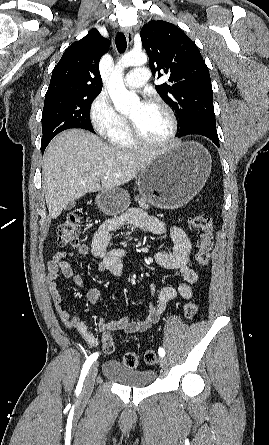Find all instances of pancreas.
Segmentation results:
<instances>
[{
    "label": "pancreas",
    "instance_id": "obj_1",
    "mask_svg": "<svg viewBox=\"0 0 269 445\" xmlns=\"http://www.w3.org/2000/svg\"><path fill=\"white\" fill-rule=\"evenodd\" d=\"M135 201H138L139 205L144 208V209H148L149 205L146 204L144 199H140L138 196L135 197Z\"/></svg>",
    "mask_w": 269,
    "mask_h": 445
}]
</instances>
